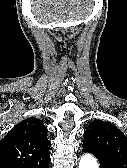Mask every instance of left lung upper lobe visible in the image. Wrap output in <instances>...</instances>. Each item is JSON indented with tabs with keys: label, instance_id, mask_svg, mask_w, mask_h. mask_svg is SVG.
Returning a JSON list of instances; mask_svg holds the SVG:
<instances>
[{
	"label": "left lung upper lobe",
	"instance_id": "1",
	"mask_svg": "<svg viewBox=\"0 0 127 168\" xmlns=\"http://www.w3.org/2000/svg\"><path fill=\"white\" fill-rule=\"evenodd\" d=\"M83 148L101 154L115 168H127V137L111 123H90L84 133Z\"/></svg>",
	"mask_w": 127,
	"mask_h": 168
}]
</instances>
